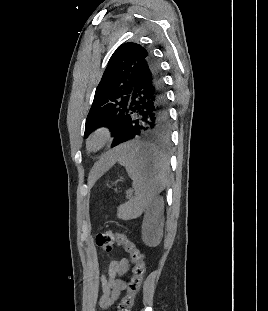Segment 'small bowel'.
I'll return each mask as SVG.
<instances>
[{"mask_svg":"<svg viewBox=\"0 0 268 311\" xmlns=\"http://www.w3.org/2000/svg\"><path fill=\"white\" fill-rule=\"evenodd\" d=\"M130 269V263L126 258H119L109 263L107 272L100 276L102 284V295L99 299V306L108 309L126 289L127 282L118 277L125 275Z\"/></svg>","mask_w":268,"mask_h":311,"instance_id":"obj_1","label":"small bowel"}]
</instances>
